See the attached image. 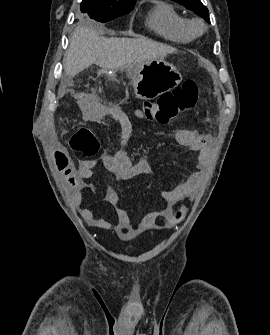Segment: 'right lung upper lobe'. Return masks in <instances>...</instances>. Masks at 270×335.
<instances>
[{"instance_id":"right-lung-upper-lobe-1","label":"right lung upper lobe","mask_w":270,"mask_h":335,"mask_svg":"<svg viewBox=\"0 0 270 335\" xmlns=\"http://www.w3.org/2000/svg\"><path fill=\"white\" fill-rule=\"evenodd\" d=\"M101 5H120V4H129L135 3L136 0H95Z\"/></svg>"}]
</instances>
